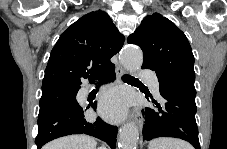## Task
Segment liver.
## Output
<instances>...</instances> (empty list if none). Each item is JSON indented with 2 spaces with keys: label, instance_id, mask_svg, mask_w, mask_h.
<instances>
[{
  "label": "liver",
  "instance_id": "6515ba94",
  "mask_svg": "<svg viewBox=\"0 0 227 149\" xmlns=\"http://www.w3.org/2000/svg\"><path fill=\"white\" fill-rule=\"evenodd\" d=\"M97 142L87 135H70L51 141L43 149H96Z\"/></svg>",
  "mask_w": 227,
  "mask_h": 149
}]
</instances>
